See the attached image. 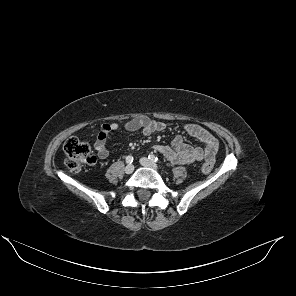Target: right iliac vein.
<instances>
[{
    "label": "right iliac vein",
    "mask_w": 296,
    "mask_h": 296,
    "mask_svg": "<svg viewBox=\"0 0 296 296\" xmlns=\"http://www.w3.org/2000/svg\"><path fill=\"white\" fill-rule=\"evenodd\" d=\"M134 171V166L129 164L125 167V173L126 174H131Z\"/></svg>",
    "instance_id": "63e3f726"
}]
</instances>
